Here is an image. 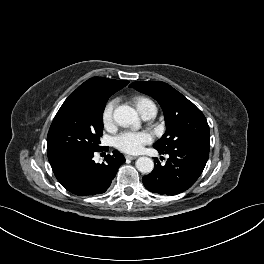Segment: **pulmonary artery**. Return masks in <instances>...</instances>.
Returning <instances> with one entry per match:
<instances>
[{"label": "pulmonary artery", "mask_w": 264, "mask_h": 264, "mask_svg": "<svg viewBox=\"0 0 264 264\" xmlns=\"http://www.w3.org/2000/svg\"><path fill=\"white\" fill-rule=\"evenodd\" d=\"M157 113L156 107L150 108L148 111H146L142 117L145 120L152 119Z\"/></svg>", "instance_id": "e3ab8cb5"}]
</instances>
